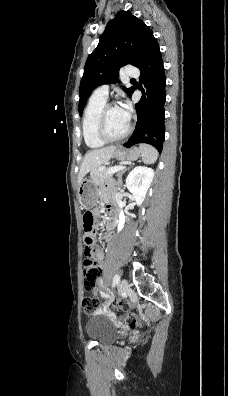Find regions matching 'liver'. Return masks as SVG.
Masks as SVG:
<instances>
[{"label":"liver","instance_id":"1","mask_svg":"<svg viewBox=\"0 0 228 396\" xmlns=\"http://www.w3.org/2000/svg\"><path fill=\"white\" fill-rule=\"evenodd\" d=\"M115 150L116 146H108L87 152L80 167L78 183L80 184L88 172L95 171L101 165L106 164L113 156Z\"/></svg>","mask_w":228,"mask_h":396}]
</instances>
